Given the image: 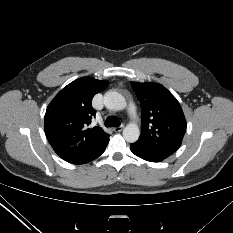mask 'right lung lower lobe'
<instances>
[{"label": "right lung lower lobe", "mask_w": 233, "mask_h": 233, "mask_svg": "<svg viewBox=\"0 0 233 233\" xmlns=\"http://www.w3.org/2000/svg\"><path fill=\"white\" fill-rule=\"evenodd\" d=\"M109 138L107 139V141L98 149L96 150L93 154H91L90 156H88L87 158L75 163V164H85L88 163L94 159H96L97 157H99L106 149V146L108 144Z\"/></svg>", "instance_id": "98d812e1"}]
</instances>
